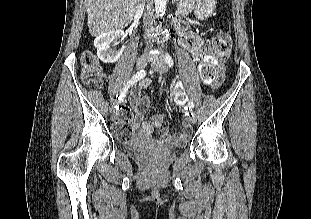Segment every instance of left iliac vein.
<instances>
[{"label":"left iliac vein","instance_id":"4c4485c4","mask_svg":"<svg viewBox=\"0 0 311 219\" xmlns=\"http://www.w3.org/2000/svg\"><path fill=\"white\" fill-rule=\"evenodd\" d=\"M153 68L159 72V73H166L168 70L167 64L164 62V60L160 59L157 63L152 65ZM189 121L194 124L196 122V115L195 113H192L189 117Z\"/></svg>","mask_w":311,"mask_h":219}]
</instances>
